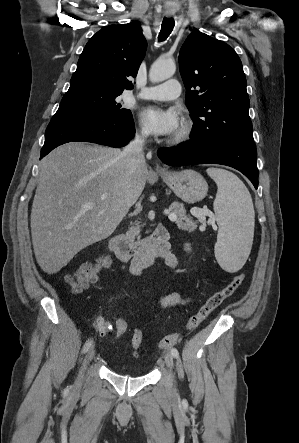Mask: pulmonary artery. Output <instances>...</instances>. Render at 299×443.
I'll use <instances>...</instances> for the list:
<instances>
[{
    "label": "pulmonary artery",
    "mask_w": 299,
    "mask_h": 443,
    "mask_svg": "<svg viewBox=\"0 0 299 443\" xmlns=\"http://www.w3.org/2000/svg\"><path fill=\"white\" fill-rule=\"evenodd\" d=\"M181 93V86L178 80L169 79L166 82L156 85L145 87L140 97L148 100H173L179 97Z\"/></svg>",
    "instance_id": "pulmonary-artery-1"
}]
</instances>
